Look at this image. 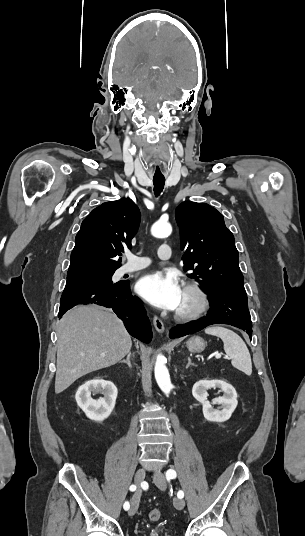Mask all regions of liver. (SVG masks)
Instances as JSON below:
<instances>
[{
  "mask_svg": "<svg viewBox=\"0 0 305 536\" xmlns=\"http://www.w3.org/2000/svg\"><path fill=\"white\" fill-rule=\"evenodd\" d=\"M132 342L121 320L102 306H78L58 326L55 394L75 380L120 362Z\"/></svg>",
  "mask_w": 305,
  "mask_h": 536,
  "instance_id": "6515ba94",
  "label": "liver"
}]
</instances>
